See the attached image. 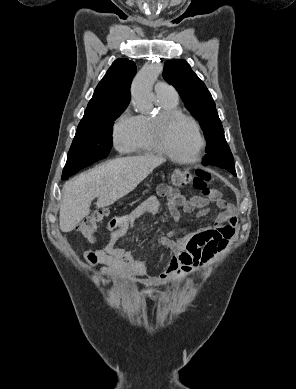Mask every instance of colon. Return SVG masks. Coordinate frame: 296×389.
Here are the masks:
<instances>
[{
    "instance_id": "colon-1",
    "label": "colon",
    "mask_w": 296,
    "mask_h": 389,
    "mask_svg": "<svg viewBox=\"0 0 296 389\" xmlns=\"http://www.w3.org/2000/svg\"><path fill=\"white\" fill-rule=\"evenodd\" d=\"M171 179L172 183L177 187L193 185L196 189L201 191L205 197H211L216 194L209 186L211 176L206 171L197 170L193 173L190 169L181 168L173 172ZM107 216V210H97L80 222L77 226V231L84 238L92 241L95 232Z\"/></svg>"
}]
</instances>
